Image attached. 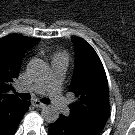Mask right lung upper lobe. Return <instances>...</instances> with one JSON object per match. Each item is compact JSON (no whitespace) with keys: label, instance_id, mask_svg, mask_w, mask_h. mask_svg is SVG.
<instances>
[{"label":"right lung upper lobe","instance_id":"right-lung-upper-lobe-1","mask_svg":"<svg viewBox=\"0 0 135 135\" xmlns=\"http://www.w3.org/2000/svg\"><path fill=\"white\" fill-rule=\"evenodd\" d=\"M40 39L22 35H8L0 39V122L6 118H16L25 101L8 92L14 90L12 81L18 78L24 53ZM5 114L1 117V111Z\"/></svg>","mask_w":135,"mask_h":135}]
</instances>
